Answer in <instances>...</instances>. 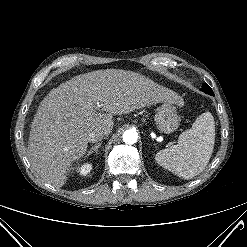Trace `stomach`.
<instances>
[{
  "label": "stomach",
  "instance_id": "obj_1",
  "mask_svg": "<svg viewBox=\"0 0 247 247\" xmlns=\"http://www.w3.org/2000/svg\"><path fill=\"white\" fill-rule=\"evenodd\" d=\"M155 124L161 133L170 134L177 130L180 124V117L176 107L170 102L161 105L155 115Z\"/></svg>",
  "mask_w": 247,
  "mask_h": 247
}]
</instances>
